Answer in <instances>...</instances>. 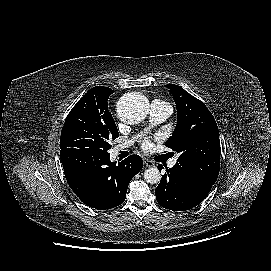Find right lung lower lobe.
Segmentation results:
<instances>
[{"mask_svg":"<svg viewBox=\"0 0 271 271\" xmlns=\"http://www.w3.org/2000/svg\"><path fill=\"white\" fill-rule=\"evenodd\" d=\"M60 158L71 189L84 204L98 210L122 204L129 182L143 167L137 155L117 163L110 161L109 153L76 148L62 149Z\"/></svg>","mask_w":271,"mask_h":271,"instance_id":"right-lung-lower-lobe-1","label":"right lung lower lobe"}]
</instances>
